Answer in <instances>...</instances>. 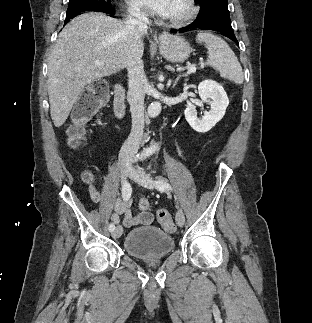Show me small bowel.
<instances>
[{"mask_svg":"<svg viewBox=\"0 0 312 323\" xmlns=\"http://www.w3.org/2000/svg\"><path fill=\"white\" fill-rule=\"evenodd\" d=\"M81 178L88 187L90 198L94 202H98L100 200L101 194L96 184L94 173L86 169L82 172ZM130 206H131V202L117 201L114 205L113 211L110 214L111 220L114 223H119L120 217L122 216L123 225L127 228L149 225L153 222L154 218L152 213L142 212L140 214H134L132 213Z\"/></svg>","mask_w":312,"mask_h":323,"instance_id":"c3829d8e","label":"small bowel"}]
</instances>
